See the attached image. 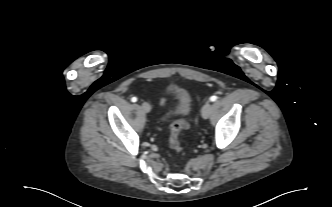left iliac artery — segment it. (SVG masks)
<instances>
[{"instance_id": "obj_1", "label": "left iliac artery", "mask_w": 332, "mask_h": 207, "mask_svg": "<svg viewBox=\"0 0 332 207\" xmlns=\"http://www.w3.org/2000/svg\"><path fill=\"white\" fill-rule=\"evenodd\" d=\"M217 98H218L217 96L213 95L210 97V101L214 102L217 100Z\"/></svg>"}]
</instances>
